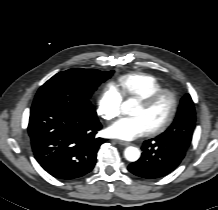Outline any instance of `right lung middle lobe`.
<instances>
[{"label": "right lung middle lobe", "mask_w": 218, "mask_h": 210, "mask_svg": "<svg viewBox=\"0 0 218 210\" xmlns=\"http://www.w3.org/2000/svg\"><path fill=\"white\" fill-rule=\"evenodd\" d=\"M113 72L82 68L60 72L39 88L32 107L53 103L87 114H96L89 98L102 82L111 77Z\"/></svg>", "instance_id": "1"}]
</instances>
